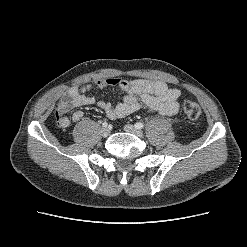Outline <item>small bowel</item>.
<instances>
[{
  "label": "small bowel",
  "instance_id": "c3829d8e",
  "mask_svg": "<svg viewBox=\"0 0 247 247\" xmlns=\"http://www.w3.org/2000/svg\"><path fill=\"white\" fill-rule=\"evenodd\" d=\"M99 89L119 87L125 92L123 99L112 104L102 100L99 96H89L91 85L72 86L60 98L56 107V117L59 126L65 128L71 121L78 122L83 112L76 110L71 118L66 113L73 108L96 105L111 119L126 117L141 108L148 112L171 116L178 112L180 89L169 86L159 80L121 78L100 79L95 82Z\"/></svg>",
  "mask_w": 247,
  "mask_h": 247
}]
</instances>
